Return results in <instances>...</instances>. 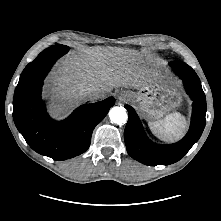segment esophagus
I'll return each instance as SVG.
<instances>
[{
    "label": "esophagus",
    "mask_w": 221,
    "mask_h": 221,
    "mask_svg": "<svg viewBox=\"0 0 221 221\" xmlns=\"http://www.w3.org/2000/svg\"><path fill=\"white\" fill-rule=\"evenodd\" d=\"M130 97V94L128 92H121L119 95H118V99L121 101V102H124V101H127Z\"/></svg>",
    "instance_id": "esophagus-1"
}]
</instances>
